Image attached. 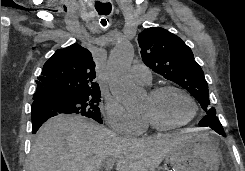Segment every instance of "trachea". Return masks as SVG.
Wrapping results in <instances>:
<instances>
[{"label":"trachea","mask_w":245,"mask_h":171,"mask_svg":"<svg viewBox=\"0 0 245 171\" xmlns=\"http://www.w3.org/2000/svg\"><path fill=\"white\" fill-rule=\"evenodd\" d=\"M95 8L100 16H106L110 14L112 9L110 3H102V2H96ZM100 23L102 26L105 27L107 25V20L105 18H102Z\"/></svg>","instance_id":"1"}]
</instances>
